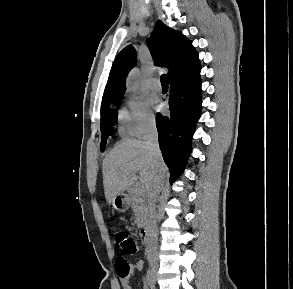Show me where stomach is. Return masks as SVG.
Returning <instances> with one entry per match:
<instances>
[{"mask_svg":"<svg viewBox=\"0 0 293 289\" xmlns=\"http://www.w3.org/2000/svg\"><path fill=\"white\" fill-rule=\"evenodd\" d=\"M129 202V199L123 194H118L112 199L113 207L119 212H124L127 209Z\"/></svg>","mask_w":293,"mask_h":289,"instance_id":"stomach-1","label":"stomach"}]
</instances>
